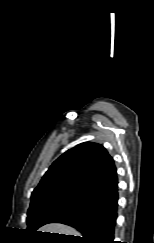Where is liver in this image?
<instances>
[{
	"instance_id": "6515ba94",
	"label": "liver",
	"mask_w": 154,
	"mask_h": 243,
	"mask_svg": "<svg viewBox=\"0 0 154 243\" xmlns=\"http://www.w3.org/2000/svg\"><path fill=\"white\" fill-rule=\"evenodd\" d=\"M38 231L64 234V235H73V236L80 235V233L76 231L74 228L60 223L47 224L41 227Z\"/></svg>"
}]
</instances>
